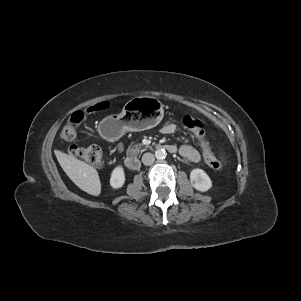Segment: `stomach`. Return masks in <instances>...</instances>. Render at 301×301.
I'll list each match as a JSON object with an SVG mask.
<instances>
[{
  "mask_svg": "<svg viewBox=\"0 0 301 301\" xmlns=\"http://www.w3.org/2000/svg\"><path fill=\"white\" fill-rule=\"evenodd\" d=\"M163 117L162 104L153 97H136L129 100L118 115L105 118L100 123L105 138L114 141L124 133L143 131L155 127Z\"/></svg>",
  "mask_w": 301,
  "mask_h": 301,
  "instance_id": "0dacf381",
  "label": "stomach"
}]
</instances>
